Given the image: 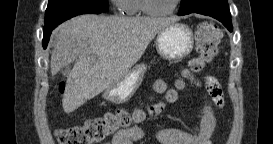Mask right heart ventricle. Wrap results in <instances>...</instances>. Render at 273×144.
<instances>
[{
    "instance_id": "right-heart-ventricle-1",
    "label": "right heart ventricle",
    "mask_w": 273,
    "mask_h": 144,
    "mask_svg": "<svg viewBox=\"0 0 273 144\" xmlns=\"http://www.w3.org/2000/svg\"><path fill=\"white\" fill-rule=\"evenodd\" d=\"M123 10L128 15L137 14L141 10V0H126Z\"/></svg>"
}]
</instances>
